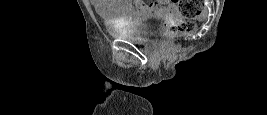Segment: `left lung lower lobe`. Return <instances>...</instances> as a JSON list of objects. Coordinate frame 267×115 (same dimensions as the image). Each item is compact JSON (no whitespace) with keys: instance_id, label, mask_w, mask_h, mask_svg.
I'll return each instance as SVG.
<instances>
[{"instance_id":"obj_1","label":"left lung lower lobe","mask_w":267,"mask_h":115,"mask_svg":"<svg viewBox=\"0 0 267 115\" xmlns=\"http://www.w3.org/2000/svg\"><path fill=\"white\" fill-rule=\"evenodd\" d=\"M160 87H157V86H154V87H150V88H148V89H151V90H158Z\"/></svg>"}]
</instances>
